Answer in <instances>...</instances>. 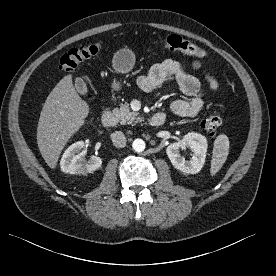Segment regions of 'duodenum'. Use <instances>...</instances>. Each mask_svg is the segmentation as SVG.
Instances as JSON below:
<instances>
[{
  "instance_id": "obj_1",
  "label": "duodenum",
  "mask_w": 276,
  "mask_h": 276,
  "mask_svg": "<svg viewBox=\"0 0 276 276\" xmlns=\"http://www.w3.org/2000/svg\"><path fill=\"white\" fill-rule=\"evenodd\" d=\"M101 121L106 127H115L117 125L116 115L109 109L105 110L102 114ZM165 122V115L163 113L154 114L149 118V125L151 127H160Z\"/></svg>"
}]
</instances>
